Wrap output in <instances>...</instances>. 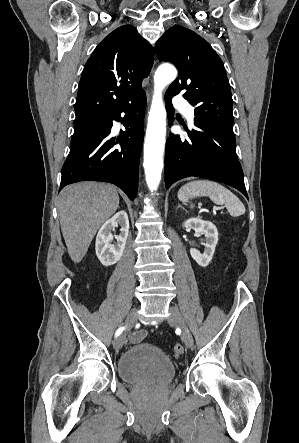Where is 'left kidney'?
Masks as SVG:
<instances>
[{
    "label": "left kidney",
    "instance_id": "1",
    "mask_svg": "<svg viewBox=\"0 0 299 443\" xmlns=\"http://www.w3.org/2000/svg\"><path fill=\"white\" fill-rule=\"evenodd\" d=\"M183 227L193 229L195 232L205 236L204 253L201 254L197 249L191 248L190 254L198 265L206 267L210 263L218 243L216 226L212 222L204 221L200 218H191L183 223Z\"/></svg>",
    "mask_w": 299,
    "mask_h": 443
}]
</instances>
